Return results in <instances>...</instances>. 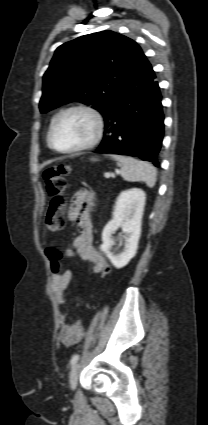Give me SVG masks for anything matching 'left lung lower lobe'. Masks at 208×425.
Wrapping results in <instances>:
<instances>
[{
    "mask_svg": "<svg viewBox=\"0 0 208 425\" xmlns=\"http://www.w3.org/2000/svg\"><path fill=\"white\" fill-rule=\"evenodd\" d=\"M161 100L155 73L146 59L105 108L104 136L95 152L137 156L159 167L164 133Z\"/></svg>",
    "mask_w": 208,
    "mask_h": 425,
    "instance_id": "1",
    "label": "left lung lower lobe"
}]
</instances>
